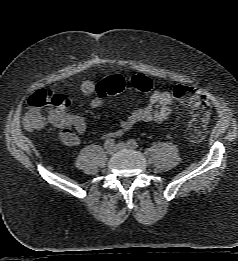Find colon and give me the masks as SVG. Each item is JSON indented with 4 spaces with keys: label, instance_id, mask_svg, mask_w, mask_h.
<instances>
[{
    "label": "colon",
    "instance_id": "colon-1",
    "mask_svg": "<svg viewBox=\"0 0 238 261\" xmlns=\"http://www.w3.org/2000/svg\"><path fill=\"white\" fill-rule=\"evenodd\" d=\"M152 81L143 74L129 78L120 75L110 76L97 84V92L104 96L120 94L126 90L147 93L152 89ZM173 96L182 104L189 107L191 119L187 127V136L193 143H200L205 138L208 120L211 115V105L206 95L199 89L178 84L173 89ZM69 104V100L61 94L50 90H39L32 94L26 104L27 113L25 125L30 130L42 127L45 123V110L61 108Z\"/></svg>",
    "mask_w": 238,
    "mask_h": 261
}]
</instances>
